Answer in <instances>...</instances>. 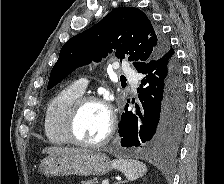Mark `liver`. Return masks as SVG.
<instances>
[{
	"label": "liver",
	"instance_id": "6515ba94",
	"mask_svg": "<svg viewBox=\"0 0 224 184\" xmlns=\"http://www.w3.org/2000/svg\"><path fill=\"white\" fill-rule=\"evenodd\" d=\"M80 151H85V150H80V149H70L66 147H47L42 150L43 154H49L50 156H55V155H62V154H72Z\"/></svg>",
	"mask_w": 224,
	"mask_h": 184
}]
</instances>
